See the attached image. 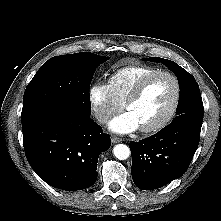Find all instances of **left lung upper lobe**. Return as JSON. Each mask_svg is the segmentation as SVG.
Returning <instances> with one entry per match:
<instances>
[{
	"mask_svg": "<svg viewBox=\"0 0 221 221\" xmlns=\"http://www.w3.org/2000/svg\"><path fill=\"white\" fill-rule=\"evenodd\" d=\"M149 59L162 62L178 77L180 98L176 110L177 116L172 122L191 119L193 117L203 120L204 109L202 98L200 96L199 86L194 77L173 61L158 57H151Z\"/></svg>",
	"mask_w": 221,
	"mask_h": 221,
	"instance_id": "left-lung-upper-lobe-1",
	"label": "left lung upper lobe"
}]
</instances>
